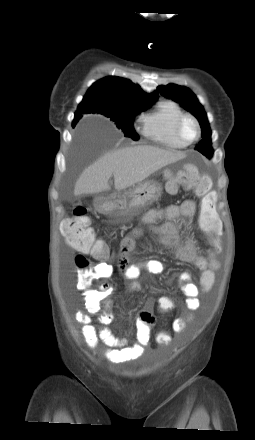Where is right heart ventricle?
I'll use <instances>...</instances> for the list:
<instances>
[{
  "label": "right heart ventricle",
  "mask_w": 255,
  "mask_h": 440,
  "mask_svg": "<svg viewBox=\"0 0 255 440\" xmlns=\"http://www.w3.org/2000/svg\"><path fill=\"white\" fill-rule=\"evenodd\" d=\"M184 114L178 103L165 100L142 117V133L151 141L170 149H183L187 145L175 134V124Z\"/></svg>",
  "instance_id": "e07e8e85"
}]
</instances>
